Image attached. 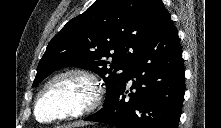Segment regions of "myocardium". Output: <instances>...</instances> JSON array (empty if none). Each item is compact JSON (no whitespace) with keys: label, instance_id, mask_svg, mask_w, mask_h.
<instances>
[{"label":"myocardium","instance_id":"obj_1","mask_svg":"<svg viewBox=\"0 0 221 128\" xmlns=\"http://www.w3.org/2000/svg\"><path fill=\"white\" fill-rule=\"evenodd\" d=\"M67 78L74 79L82 83L85 87V95L82 98L80 105L75 108L70 107L66 110L57 112L48 119L40 118L38 110L46 95L55 84ZM102 97L103 87L98 76L89 69L82 67H73L60 71L46 81V83L42 86L37 94L33 107V112L36 120L40 123L46 125L53 124L55 122L78 118L88 114L99 106Z\"/></svg>","mask_w":221,"mask_h":128}]
</instances>
